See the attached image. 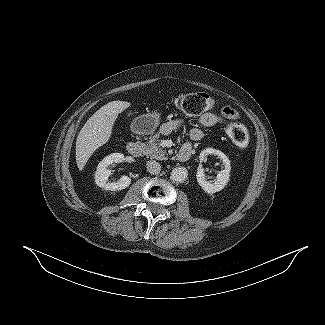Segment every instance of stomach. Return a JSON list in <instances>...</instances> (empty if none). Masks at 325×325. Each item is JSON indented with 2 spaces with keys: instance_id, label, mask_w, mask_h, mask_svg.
I'll return each mask as SVG.
<instances>
[{
  "instance_id": "0dacf381",
  "label": "stomach",
  "mask_w": 325,
  "mask_h": 325,
  "mask_svg": "<svg viewBox=\"0 0 325 325\" xmlns=\"http://www.w3.org/2000/svg\"><path fill=\"white\" fill-rule=\"evenodd\" d=\"M160 115L156 112L139 116L132 124V131L136 134H152L159 126Z\"/></svg>"
}]
</instances>
